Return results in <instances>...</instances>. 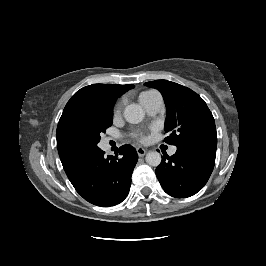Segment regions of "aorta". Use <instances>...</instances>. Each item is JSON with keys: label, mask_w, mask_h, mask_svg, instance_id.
Masks as SVG:
<instances>
[{"label": "aorta", "mask_w": 266, "mask_h": 266, "mask_svg": "<svg viewBox=\"0 0 266 266\" xmlns=\"http://www.w3.org/2000/svg\"><path fill=\"white\" fill-rule=\"evenodd\" d=\"M145 113L142 107L138 104H129L124 110V118L131 124H137L144 119ZM146 162L150 166L157 167L161 163V155L157 151L148 152Z\"/></svg>", "instance_id": "1"}]
</instances>
